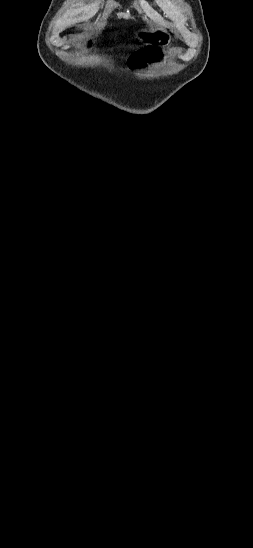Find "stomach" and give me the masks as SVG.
Segmentation results:
<instances>
[{
    "mask_svg": "<svg viewBox=\"0 0 253 548\" xmlns=\"http://www.w3.org/2000/svg\"><path fill=\"white\" fill-rule=\"evenodd\" d=\"M147 38L154 40V37H151V36H147ZM156 38L160 39L159 41H163V42H168L170 40V36L165 31H159L157 33Z\"/></svg>",
    "mask_w": 253,
    "mask_h": 548,
    "instance_id": "0dacf381",
    "label": "stomach"
}]
</instances>
